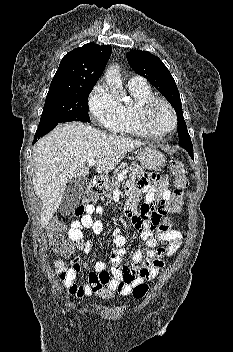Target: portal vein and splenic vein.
<instances>
[{"label": "portal vein and splenic vein", "mask_w": 233, "mask_h": 352, "mask_svg": "<svg viewBox=\"0 0 233 352\" xmlns=\"http://www.w3.org/2000/svg\"><path fill=\"white\" fill-rule=\"evenodd\" d=\"M96 164V160L94 158H91L88 160V166H94ZM128 172V170H123L119 176H118V180L122 181L125 178L126 173Z\"/></svg>", "instance_id": "18ae733b"}]
</instances>
